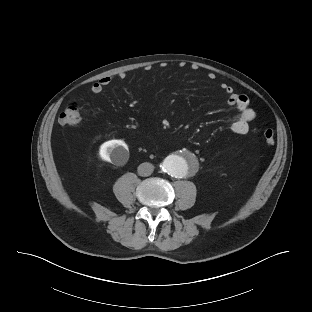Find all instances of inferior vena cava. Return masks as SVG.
I'll return each instance as SVG.
<instances>
[{"label":"inferior vena cava","mask_w":312,"mask_h":312,"mask_svg":"<svg viewBox=\"0 0 312 312\" xmlns=\"http://www.w3.org/2000/svg\"><path fill=\"white\" fill-rule=\"evenodd\" d=\"M154 166L151 163L144 162L138 166V174L143 177L150 176L153 173Z\"/></svg>","instance_id":"inferior-vena-cava-1"}]
</instances>
